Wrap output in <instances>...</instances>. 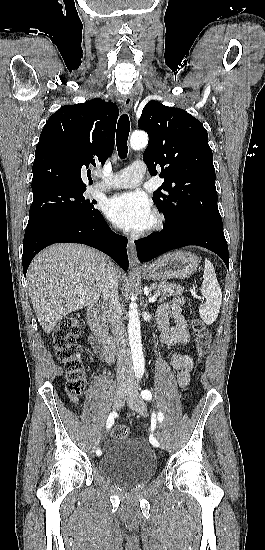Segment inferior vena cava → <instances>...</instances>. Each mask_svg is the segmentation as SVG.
<instances>
[{
  "label": "inferior vena cava",
  "mask_w": 265,
  "mask_h": 550,
  "mask_svg": "<svg viewBox=\"0 0 265 550\" xmlns=\"http://www.w3.org/2000/svg\"><path fill=\"white\" fill-rule=\"evenodd\" d=\"M104 311L116 345L117 380L118 383L130 382L132 376L131 352L127 341L125 326L121 320V310L118 297V277L115 269L109 267L103 285Z\"/></svg>",
  "instance_id": "obj_1"
}]
</instances>
